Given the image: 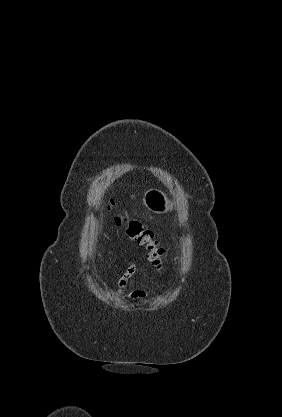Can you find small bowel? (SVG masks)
Here are the masks:
<instances>
[{"label":"small bowel","instance_id":"1","mask_svg":"<svg viewBox=\"0 0 282 417\" xmlns=\"http://www.w3.org/2000/svg\"><path fill=\"white\" fill-rule=\"evenodd\" d=\"M96 255H97V258L99 259L100 264L103 265L105 260H104V256L102 252L97 251ZM136 269H137L136 264L132 263L126 268V270L120 276L118 280V286H119L118 296L119 297H127L128 299H131V300H140L148 296V292L144 289L137 288L131 291L126 290L131 277L136 272Z\"/></svg>","mask_w":282,"mask_h":417}]
</instances>
